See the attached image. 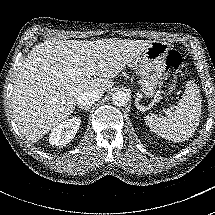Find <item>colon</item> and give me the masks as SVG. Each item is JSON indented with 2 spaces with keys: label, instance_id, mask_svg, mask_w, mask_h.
Returning a JSON list of instances; mask_svg holds the SVG:
<instances>
[{
  "label": "colon",
  "instance_id": "colon-1",
  "mask_svg": "<svg viewBox=\"0 0 215 215\" xmlns=\"http://www.w3.org/2000/svg\"><path fill=\"white\" fill-rule=\"evenodd\" d=\"M181 62L182 56L178 51L173 50L168 53L165 60V69L168 72V76L161 81L159 86L160 94L166 100L171 99V95L176 84V79L172 73L180 68Z\"/></svg>",
  "mask_w": 215,
  "mask_h": 215
}]
</instances>
